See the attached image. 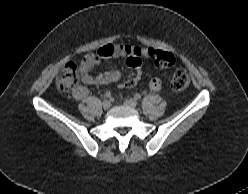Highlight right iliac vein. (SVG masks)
Segmentation results:
<instances>
[{
    "mask_svg": "<svg viewBox=\"0 0 248 194\" xmlns=\"http://www.w3.org/2000/svg\"><path fill=\"white\" fill-rule=\"evenodd\" d=\"M110 106H111V103H110V101L109 100H104L103 102H102V107L106 110V109H108V108H110Z\"/></svg>",
    "mask_w": 248,
    "mask_h": 194,
    "instance_id": "1",
    "label": "right iliac vein"
}]
</instances>
